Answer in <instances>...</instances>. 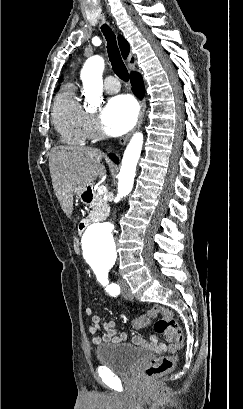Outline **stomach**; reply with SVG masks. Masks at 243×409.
I'll return each mask as SVG.
<instances>
[{
	"label": "stomach",
	"instance_id": "obj_1",
	"mask_svg": "<svg viewBox=\"0 0 243 409\" xmlns=\"http://www.w3.org/2000/svg\"><path fill=\"white\" fill-rule=\"evenodd\" d=\"M85 191H86V188L84 187H76L74 190L75 194L80 198L83 196Z\"/></svg>",
	"mask_w": 243,
	"mask_h": 409
}]
</instances>
